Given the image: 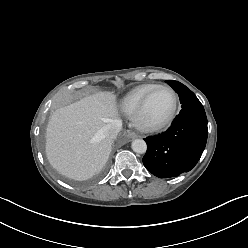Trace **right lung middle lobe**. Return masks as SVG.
I'll use <instances>...</instances> for the list:
<instances>
[{"label": "right lung middle lobe", "mask_w": 248, "mask_h": 248, "mask_svg": "<svg viewBox=\"0 0 248 248\" xmlns=\"http://www.w3.org/2000/svg\"><path fill=\"white\" fill-rule=\"evenodd\" d=\"M107 171V166H105L102 171L100 173H98L96 176H94L93 178L89 179V180H86V181H82V182H74L76 184H80V185H84V186H87V185H90L96 181H98L100 178L103 177V175L106 173Z\"/></svg>", "instance_id": "obj_1"}]
</instances>
